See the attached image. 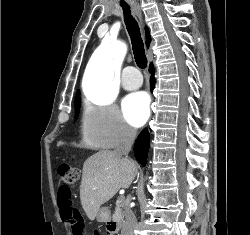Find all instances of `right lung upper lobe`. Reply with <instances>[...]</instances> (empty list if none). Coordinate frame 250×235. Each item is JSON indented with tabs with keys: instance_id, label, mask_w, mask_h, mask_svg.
I'll list each match as a JSON object with an SVG mask.
<instances>
[{
	"instance_id": "1",
	"label": "right lung upper lobe",
	"mask_w": 250,
	"mask_h": 235,
	"mask_svg": "<svg viewBox=\"0 0 250 235\" xmlns=\"http://www.w3.org/2000/svg\"><path fill=\"white\" fill-rule=\"evenodd\" d=\"M145 31H146V45L147 47H149V44L151 42V37L147 28L145 29ZM77 94H80L79 91L77 92Z\"/></svg>"
}]
</instances>
